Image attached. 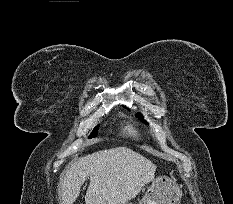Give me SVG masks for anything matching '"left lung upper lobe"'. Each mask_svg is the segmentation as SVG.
<instances>
[{"instance_id":"left-lung-upper-lobe-1","label":"left lung upper lobe","mask_w":233,"mask_h":204,"mask_svg":"<svg viewBox=\"0 0 233 204\" xmlns=\"http://www.w3.org/2000/svg\"><path fill=\"white\" fill-rule=\"evenodd\" d=\"M136 115L141 121L145 122V120L143 119V116L141 114L137 113ZM145 123L147 124V122H145Z\"/></svg>"}]
</instances>
